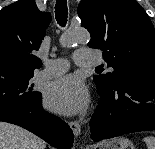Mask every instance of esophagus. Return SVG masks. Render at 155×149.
<instances>
[{"mask_svg":"<svg viewBox=\"0 0 155 149\" xmlns=\"http://www.w3.org/2000/svg\"><path fill=\"white\" fill-rule=\"evenodd\" d=\"M69 126H70L71 130L73 131V133L76 137L80 135L81 127L77 121H70Z\"/></svg>","mask_w":155,"mask_h":149,"instance_id":"obj_1","label":"esophagus"}]
</instances>
